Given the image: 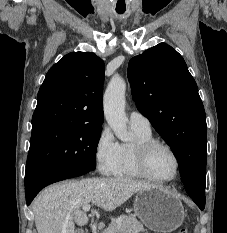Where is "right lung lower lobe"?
<instances>
[{
	"instance_id": "1",
	"label": "right lung lower lobe",
	"mask_w": 227,
	"mask_h": 233,
	"mask_svg": "<svg viewBox=\"0 0 227 233\" xmlns=\"http://www.w3.org/2000/svg\"><path fill=\"white\" fill-rule=\"evenodd\" d=\"M88 172L89 170H85V169L67 168V169L47 171L37 175L30 181L25 182L27 205H30L34 197L45 186L64 179L81 176Z\"/></svg>"
}]
</instances>
